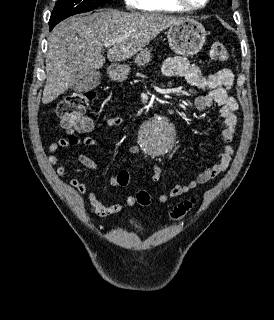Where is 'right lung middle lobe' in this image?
<instances>
[{
  "label": "right lung middle lobe",
  "instance_id": "dd1d6c3e",
  "mask_svg": "<svg viewBox=\"0 0 274 320\" xmlns=\"http://www.w3.org/2000/svg\"><path fill=\"white\" fill-rule=\"evenodd\" d=\"M112 0H57L49 24L56 25L65 18L91 11Z\"/></svg>",
  "mask_w": 274,
  "mask_h": 320
}]
</instances>
